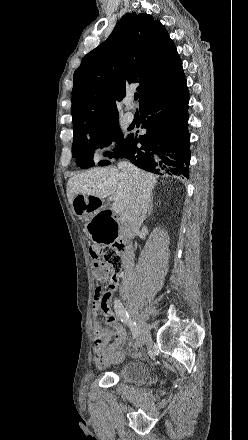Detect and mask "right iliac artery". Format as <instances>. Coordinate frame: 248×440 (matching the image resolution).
Returning <instances> with one entry per match:
<instances>
[{
	"instance_id": "82829eb1",
	"label": "right iliac artery",
	"mask_w": 248,
	"mask_h": 440,
	"mask_svg": "<svg viewBox=\"0 0 248 440\" xmlns=\"http://www.w3.org/2000/svg\"><path fill=\"white\" fill-rule=\"evenodd\" d=\"M114 308L121 321L131 329L133 337L136 338L138 336V327L136 323L130 319L129 314L119 299H115Z\"/></svg>"
}]
</instances>
